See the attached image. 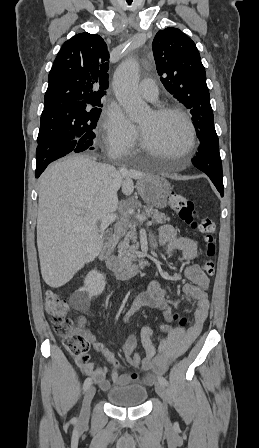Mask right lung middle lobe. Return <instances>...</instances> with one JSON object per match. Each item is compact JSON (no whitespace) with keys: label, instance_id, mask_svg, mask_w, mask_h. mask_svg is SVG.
<instances>
[{"label":"right lung middle lobe","instance_id":"right-lung-middle-lobe-1","mask_svg":"<svg viewBox=\"0 0 259 448\" xmlns=\"http://www.w3.org/2000/svg\"><path fill=\"white\" fill-rule=\"evenodd\" d=\"M101 105L68 113L42 114L38 144L51 141H77V152L93 147Z\"/></svg>","mask_w":259,"mask_h":448}]
</instances>
